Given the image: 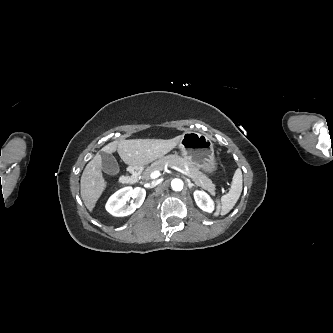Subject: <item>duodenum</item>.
<instances>
[{
	"label": "duodenum",
	"mask_w": 333,
	"mask_h": 333,
	"mask_svg": "<svg viewBox=\"0 0 333 333\" xmlns=\"http://www.w3.org/2000/svg\"><path fill=\"white\" fill-rule=\"evenodd\" d=\"M140 170L136 167H131L126 175L122 177L123 184H134L138 181Z\"/></svg>",
	"instance_id": "duodenum-1"
}]
</instances>
